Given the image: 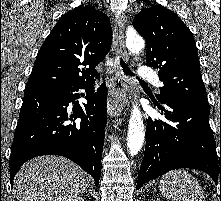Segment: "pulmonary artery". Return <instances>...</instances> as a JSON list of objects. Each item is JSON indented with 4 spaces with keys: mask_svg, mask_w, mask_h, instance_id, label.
I'll return each instance as SVG.
<instances>
[{
    "mask_svg": "<svg viewBox=\"0 0 221 201\" xmlns=\"http://www.w3.org/2000/svg\"><path fill=\"white\" fill-rule=\"evenodd\" d=\"M138 74L141 80L153 82L158 87L162 86L157 73L151 68L142 66L139 68Z\"/></svg>",
    "mask_w": 221,
    "mask_h": 201,
    "instance_id": "obj_1",
    "label": "pulmonary artery"
}]
</instances>
